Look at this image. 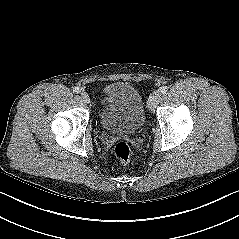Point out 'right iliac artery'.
I'll use <instances>...</instances> for the list:
<instances>
[{"label":"right iliac artery","instance_id":"right-iliac-artery-1","mask_svg":"<svg viewBox=\"0 0 239 239\" xmlns=\"http://www.w3.org/2000/svg\"><path fill=\"white\" fill-rule=\"evenodd\" d=\"M73 92L78 94L80 92V88L79 87H74Z\"/></svg>","mask_w":239,"mask_h":239}]
</instances>
